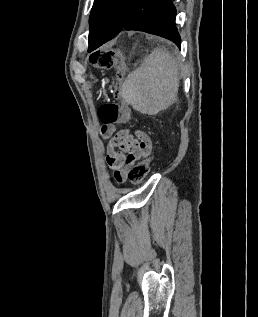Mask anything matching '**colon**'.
<instances>
[{"label": "colon", "instance_id": "colon-1", "mask_svg": "<svg viewBox=\"0 0 258 317\" xmlns=\"http://www.w3.org/2000/svg\"><path fill=\"white\" fill-rule=\"evenodd\" d=\"M89 60L94 66L101 69H107L112 67L114 63V53L109 50H98L90 55ZM123 79L124 75L120 70L113 89L116 98H120ZM98 115L99 119L104 124H113L118 121L129 122L132 117L130 110H124L120 105L114 102L102 105L99 108ZM152 161L153 155L132 166L127 173L128 179L133 184H140L143 182L149 173Z\"/></svg>", "mask_w": 258, "mask_h": 317}]
</instances>
